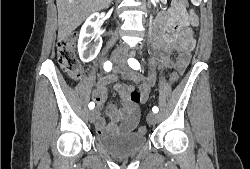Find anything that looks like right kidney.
Segmentation results:
<instances>
[{
    "instance_id": "right-kidney-1",
    "label": "right kidney",
    "mask_w": 250,
    "mask_h": 169,
    "mask_svg": "<svg viewBox=\"0 0 250 169\" xmlns=\"http://www.w3.org/2000/svg\"><path fill=\"white\" fill-rule=\"evenodd\" d=\"M96 18V20H94ZM99 12L90 14L87 20H85L78 38V52L83 62H90L93 58H96L100 48L102 46V38L99 34L100 22ZM94 38L93 42H91Z\"/></svg>"
}]
</instances>
